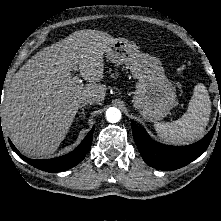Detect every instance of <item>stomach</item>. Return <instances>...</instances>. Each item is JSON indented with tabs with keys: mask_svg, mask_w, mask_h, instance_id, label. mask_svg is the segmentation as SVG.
Returning a JSON list of instances; mask_svg holds the SVG:
<instances>
[{
	"mask_svg": "<svg viewBox=\"0 0 221 221\" xmlns=\"http://www.w3.org/2000/svg\"><path fill=\"white\" fill-rule=\"evenodd\" d=\"M105 55L114 64H125L138 80L132 102L145 120L160 121L174 108L176 92L158 58L143 53L125 38L116 39Z\"/></svg>",
	"mask_w": 221,
	"mask_h": 221,
	"instance_id": "1",
	"label": "stomach"
}]
</instances>
